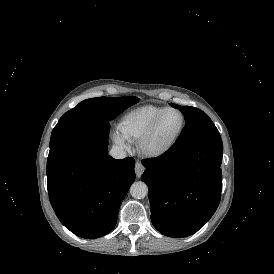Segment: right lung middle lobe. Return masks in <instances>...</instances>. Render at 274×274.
<instances>
[{
  "instance_id": "dd1d6c3e",
  "label": "right lung middle lobe",
  "mask_w": 274,
  "mask_h": 274,
  "mask_svg": "<svg viewBox=\"0 0 274 274\" xmlns=\"http://www.w3.org/2000/svg\"><path fill=\"white\" fill-rule=\"evenodd\" d=\"M138 101L139 99L135 96H127L120 98L98 97L80 102L58 121L51 134L50 148L95 123L114 119Z\"/></svg>"
}]
</instances>
